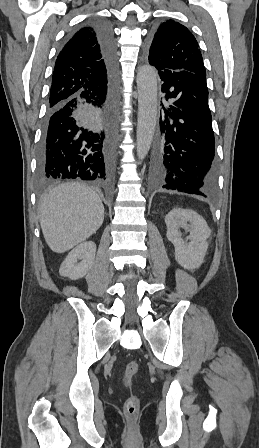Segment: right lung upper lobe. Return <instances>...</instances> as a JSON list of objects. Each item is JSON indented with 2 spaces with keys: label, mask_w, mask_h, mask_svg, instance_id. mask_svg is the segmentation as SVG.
Segmentation results:
<instances>
[{
  "label": "right lung upper lobe",
  "mask_w": 259,
  "mask_h": 448,
  "mask_svg": "<svg viewBox=\"0 0 259 448\" xmlns=\"http://www.w3.org/2000/svg\"><path fill=\"white\" fill-rule=\"evenodd\" d=\"M107 82V66L96 34L93 28L83 27L71 36L57 56L49 105L97 91Z\"/></svg>",
  "instance_id": "right-lung-upper-lobe-1"
}]
</instances>
